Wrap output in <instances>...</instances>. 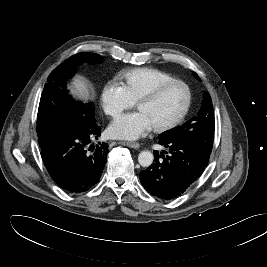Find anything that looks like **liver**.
Here are the masks:
<instances>
[{
  "label": "liver",
  "instance_id": "liver-1",
  "mask_svg": "<svg viewBox=\"0 0 267 267\" xmlns=\"http://www.w3.org/2000/svg\"><path fill=\"white\" fill-rule=\"evenodd\" d=\"M71 90L74 95L82 99H86L89 95V85L82 77L74 79Z\"/></svg>",
  "mask_w": 267,
  "mask_h": 267
}]
</instances>
